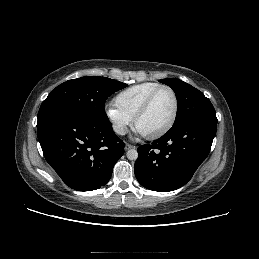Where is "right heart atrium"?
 I'll list each match as a JSON object with an SVG mask.
<instances>
[{"mask_svg":"<svg viewBox=\"0 0 259 259\" xmlns=\"http://www.w3.org/2000/svg\"><path fill=\"white\" fill-rule=\"evenodd\" d=\"M104 113L113 131L118 135H124L131 125L132 119L111 104L105 106Z\"/></svg>","mask_w":259,"mask_h":259,"instance_id":"obj_1","label":"right heart atrium"}]
</instances>
